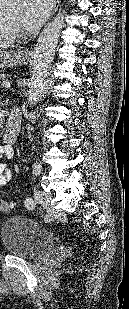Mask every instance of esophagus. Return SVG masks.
<instances>
[{"label":"esophagus","mask_w":129,"mask_h":309,"mask_svg":"<svg viewBox=\"0 0 129 309\" xmlns=\"http://www.w3.org/2000/svg\"><path fill=\"white\" fill-rule=\"evenodd\" d=\"M59 5H60V0H56V2H55V4H54V12L57 11Z\"/></svg>","instance_id":"obj_1"}]
</instances>
